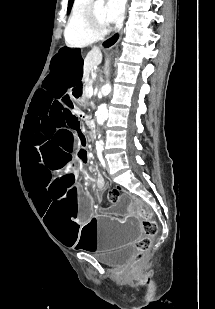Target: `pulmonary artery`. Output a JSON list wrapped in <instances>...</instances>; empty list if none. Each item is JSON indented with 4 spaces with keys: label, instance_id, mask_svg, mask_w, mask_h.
I'll use <instances>...</instances> for the list:
<instances>
[{
    "label": "pulmonary artery",
    "instance_id": "obj_1",
    "mask_svg": "<svg viewBox=\"0 0 215 309\" xmlns=\"http://www.w3.org/2000/svg\"><path fill=\"white\" fill-rule=\"evenodd\" d=\"M74 8H87V1L85 0H78V1H74Z\"/></svg>",
    "mask_w": 215,
    "mask_h": 309
}]
</instances>
